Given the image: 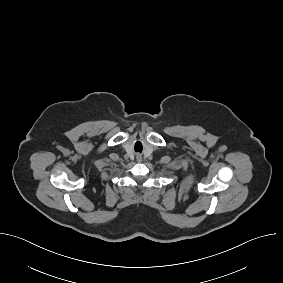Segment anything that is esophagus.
Masks as SVG:
<instances>
[{
	"label": "esophagus",
	"instance_id": "obj_1",
	"mask_svg": "<svg viewBox=\"0 0 283 283\" xmlns=\"http://www.w3.org/2000/svg\"><path fill=\"white\" fill-rule=\"evenodd\" d=\"M137 160L141 161L142 160V156L140 154H137Z\"/></svg>",
	"mask_w": 283,
	"mask_h": 283
}]
</instances>
